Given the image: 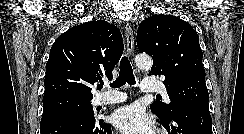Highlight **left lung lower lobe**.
Returning <instances> with one entry per match:
<instances>
[{
    "mask_svg": "<svg viewBox=\"0 0 244 134\" xmlns=\"http://www.w3.org/2000/svg\"><path fill=\"white\" fill-rule=\"evenodd\" d=\"M158 118L169 134H212L209 111L183 106L174 108L168 117Z\"/></svg>",
    "mask_w": 244,
    "mask_h": 134,
    "instance_id": "1",
    "label": "left lung lower lobe"
}]
</instances>
